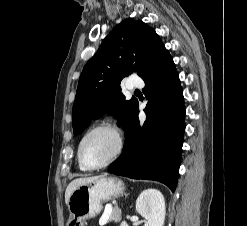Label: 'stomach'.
Returning <instances> with one entry per match:
<instances>
[{"instance_id":"obj_1","label":"stomach","mask_w":247,"mask_h":226,"mask_svg":"<svg viewBox=\"0 0 247 226\" xmlns=\"http://www.w3.org/2000/svg\"><path fill=\"white\" fill-rule=\"evenodd\" d=\"M125 192L123 181L116 177H98L76 188L68 201L70 212L67 226H84L87 219L98 215L102 203Z\"/></svg>"}]
</instances>
